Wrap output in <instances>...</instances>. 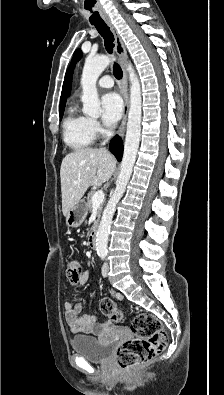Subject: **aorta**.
I'll list each match as a JSON object with an SVG mask.
<instances>
[{
    "label": "aorta",
    "instance_id": "762f6f07",
    "mask_svg": "<svg viewBox=\"0 0 224 395\" xmlns=\"http://www.w3.org/2000/svg\"><path fill=\"white\" fill-rule=\"evenodd\" d=\"M112 59L106 55L90 58L85 61L81 77L83 113L98 117L100 114V101L98 98L96 82L100 74L107 68ZM127 71L130 80V106L128 112L127 130L124 143V152L121 169L116 181V188L110 197L96 235L97 252L107 251L110 224L116 205L123 196L127 183L130 180L141 136L142 97L141 86L133 67L128 65Z\"/></svg>",
    "mask_w": 224,
    "mask_h": 395
}]
</instances>
